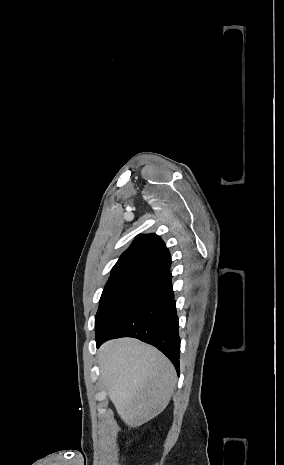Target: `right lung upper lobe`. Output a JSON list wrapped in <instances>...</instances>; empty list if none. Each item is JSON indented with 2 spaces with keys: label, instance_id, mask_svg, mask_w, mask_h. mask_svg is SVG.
<instances>
[{
  "label": "right lung upper lobe",
  "instance_id": "obj_1",
  "mask_svg": "<svg viewBox=\"0 0 284 465\" xmlns=\"http://www.w3.org/2000/svg\"><path fill=\"white\" fill-rule=\"evenodd\" d=\"M170 266V253L159 236L138 235L112 268L109 279L136 277L156 281L169 273Z\"/></svg>",
  "mask_w": 284,
  "mask_h": 465
}]
</instances>
